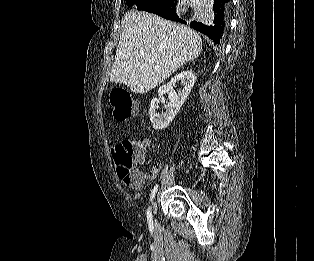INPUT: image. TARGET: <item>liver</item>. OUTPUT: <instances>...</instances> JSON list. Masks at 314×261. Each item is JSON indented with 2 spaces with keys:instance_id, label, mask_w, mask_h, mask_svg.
Instances as JSON below:
<instances>
[{
  "instance_id": "obj_1",
  "label": "liver",
  "mask_w": 314,
  "mask_h": 261,
  "mask_svg": "<svg viewBox=\"0 0 314 261\" xmlns=\"http://www.w3.org/2000/svg\"><path fill=\"white\" fill-rule=\"evenodd\" d=\"M122 23L110 81L134 93L149 92L201 54V37L183 25L134 9L125 13Z\"/></svg>"
}]
</instances>
